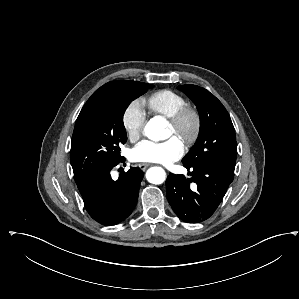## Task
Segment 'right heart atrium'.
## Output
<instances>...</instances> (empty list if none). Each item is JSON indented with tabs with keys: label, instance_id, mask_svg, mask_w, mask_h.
Returning a JSON list of instances; mask_svg holds the SVG:
<instances>
[{
	"label": "right heart atrium",
	"instance_id": "d8ad5b80",
	"mask_svg": "<svg viewBox=\"0 0 299 299\" xmlns=\"http://www.w3.org/2000/svg\"><path fill=\"white\" fill-rule=\"evenodd\" d=\"M146 113L142 101H131L122 114V126L129 140L135 141L142 133Z\"/></svg>",
	"mask_w": 299,
	"mask_h": 299
}]
</instances>
